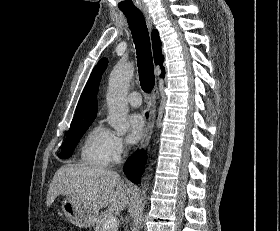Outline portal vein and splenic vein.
I'll list each match as a JSON object with an SVG mask.
<instances>
[{
	"label": "portal vein and splenic vein",
	"mask_w": 280,
	"mask_h": 231,
	"mask_svg": "<svg viewBox=\"0 0 280 231\" xmlns=\"http://www.w3.org/2000/svg\"><path fill=\"white\" fill-rule=\"evenodd\" d=\"M119 219L116 217V215H110L109 219H107V223L105 227H108V229H111V227H114V225H118Z\"/></svg>",
	"instance_id": "18ae733b"
}]
</instances>
